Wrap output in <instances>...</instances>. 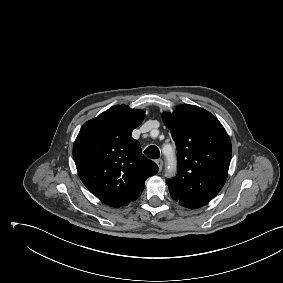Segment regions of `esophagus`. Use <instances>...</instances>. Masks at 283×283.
Listing matches in <instances>:
<instances>
[{
	"instance_id": "obj_1",
	"label": "esophagus",
	"mask_w": 283,
	"mask_h": 283,
	"mask_svg": "<svg viewBox=\"0 0 283 283\" xmlns=\"http://www.w3.org/2000/svg\"><path fill=\"white\" fill-rule=\"evenodd\" d=\"M156 164L158 165L159 170H162V167H163V161H162V159H157V160H156Z\"/></svg>"
}]
</instances>
